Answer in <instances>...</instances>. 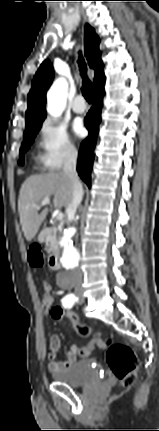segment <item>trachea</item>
I'll list each match as a JSON object with an SVG mask.
<instances>
[{
  "label": "trachea",
  "mask_w": 159,
  "mask_h": 431,
  "mask_svg": "<svg viewBox=\"0 0 159 431\" xmlns=\"http://www.w3.org/2000/svg\"><path fill=\"white\" fill-rule=\"evenodd\" d=\"M78 64H79L81 76L83 78L82 94L88 103H92V101H93V85L87 77V74H86L87 73V66H86V63H85L81 53L79 56Z\"/></svg>",
  "instance_id": "3493384b"
}]
</instances>
